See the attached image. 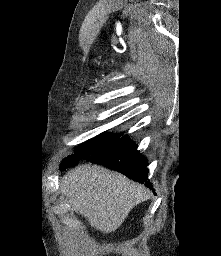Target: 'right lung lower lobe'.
I'll return each mask as SVG.
<instances>
[{
    "mask_svg": "<svg viewBox=\"0 0 221 256\" xmlns=\"http://www.w3.org/2000/svg\"><path fill=\"white\" fill-rule=\"evenodd\" d=\"M85 160L121 172L134 181L145 183L148 187L152 186L147 181V160L141 156L137 151V145L127 135L106 145Z\"/></svg>",
    "mask_w": 221,
    "mask_h": 256,
    "instance_id": "obj_1",
    "label": "right lung lower lobe"
}]
</instances>
